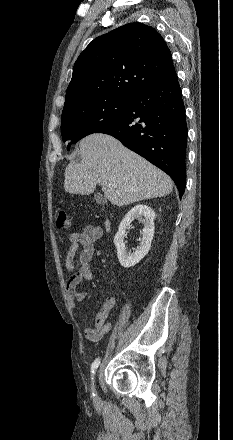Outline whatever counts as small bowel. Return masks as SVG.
<instances>
[{"mask_svg": "<svg viewBox=\"0 0 233 440\" xmlns=\"http://www.w3.org/2000/svg\"><path fill=\"white\" fill-rule=\"evenodd\" d=\"M102 236V230L99 226L88 224L80 232H73L69 235V249L67 252L65 265L70 273V278L66 288L72 306L76 302L82 303L87 297V293L79 290L83 281H92L96 274L92 269L91 260L93 258L94 244ZM79 247L81 250L78 253ZM78 254L79 268L76 267V256ZM116 301L113 297L105 300L102 309L95 318L93 327H84V335L91 341H97L108 334L112 329V323L108 322V317L115 307ZM84 317V315H82Z\"/></svg>", "mask_w": 233, "mask_h": 440, "instance_id": "small-bowel-1", "label": "small bowel"}]
</instances>
